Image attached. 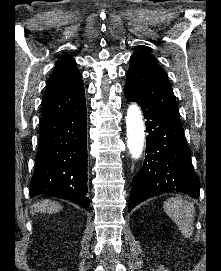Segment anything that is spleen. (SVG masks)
<instances>
[{
	"instance_id": "1",
	"label": "spleen",
	"mask_w": 221,
	"mask_h": 271,
	"mask_svg": "<svg viewBox=\"0 0 221 271\" xmlns=\"http://www.w3.org/2000/svg\"><path fill=\"white\" fill-rule=\"evenodd\" d=\"M165 213L178 225L185 237H191L194 231L195 207L194 203L183 197H170L164 201Z\"/></svg>"
}]
</instances>
